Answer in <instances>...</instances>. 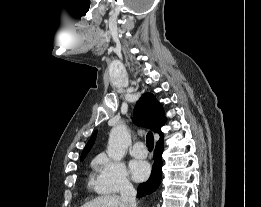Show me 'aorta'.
Listing matches in <instances>:
<instances>
[{
    "instance_id": "762f6f07",
    "label": "aorta",
    "mask_w": 261,
    "mask_h": 207,
    "mask_svg": "<svg viewBox=\"0 0 261 207\" xmlns=\"http://www.w3.org/2000/svg\"><path fill=\"white\" fill-rule=\"evenodd\" d=\"M131 143V136L125 124H119L110 131L107 155L114 161H120Z\"/></svg>"
}]
</instances>
